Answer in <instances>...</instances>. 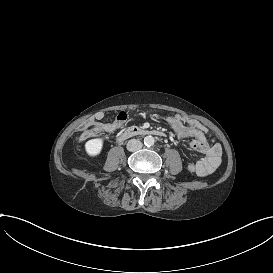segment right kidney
Returning a JSON list of instances; mask_svg holds the SVG:
<instances>
[{"label":"right kidney","mask_w":273,"mask_h":273,"mask_svg":"<svg viewBox=\"0 0 273 273\" xmlns=\"http://www.w3.org/2000/svg\"><path fill=\"white\" fill-rule=\"evenodd\" d=\"M103 146V140L101 138L91 139L86 142L85 149L88 155L96 156L100 154Z\"/></svg>","instance_id":"1"}]
</instances>
